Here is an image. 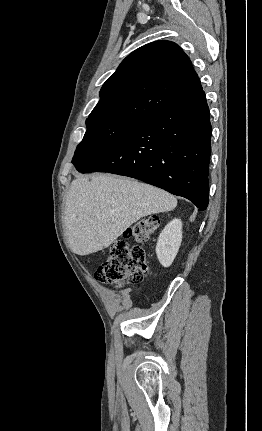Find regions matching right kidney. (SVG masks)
Masks as SVG:
<instances>
[{"label":"right kidney","mask_w":262,"mask_h":431,"mask_svg":"<svg viewBox=\"0 0 262 431\" xmlns=\"http://www.w3.org/2000/svg\"><path fill=\"white\" fill-rule=\"evenodd\" d=\"M182 241V222L174 219L168 223L161 232L156 254L159 262L164 267H169L174 261Z\"/></svg>","instance_id":"right-kidney-1"}]
</instances>
